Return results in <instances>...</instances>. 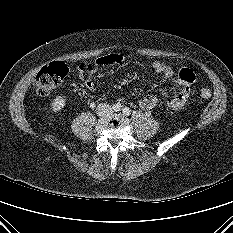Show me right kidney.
I'll return each mask as SVG.
<instances>
[{
  "instance_id": "1",
  "label": "right kidney",
  "mask_w": 233,
  "mask_h": 233,
  "mask_svg": "<svg viewBox=\"0 0 233 233\" xmlns=\"http://www.w3.org/2000/svg\"><path fill=\"white\" fill-rule=\"evenodd\" d=\"M66 105V99L63 96H57L51 103L53 112H60Z\"/></svg>"
}]
</instances>
